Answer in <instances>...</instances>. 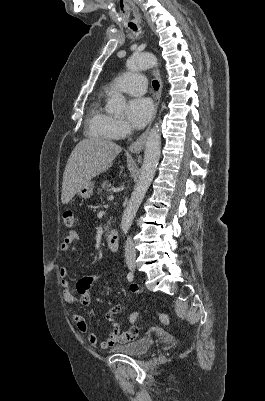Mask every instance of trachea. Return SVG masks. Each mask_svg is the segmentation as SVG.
I'll list each match as a JSON object with an SVG mask.
<instances>
[{"label": "trachea", "mask_w": 265, "mask_h": 401, "mask_svg": "<svg viewBox=\"0 0 265 401\" xmlns=\"http://www.w3.org/2000/svg\"><path fill=\"white\" fill-rule=\"evenodd\" d=\"M128 26H129L132 30L137 31V27H136L135 24L130 23ZM152 86H153L154 90H158V89H159V82H158V80H153Z\"/></svg>", "instance_id": "obj_1"}]
</instances>
